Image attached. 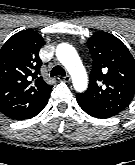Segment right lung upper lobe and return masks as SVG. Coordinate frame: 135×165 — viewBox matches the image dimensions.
Masks as SVG:
<instances>
[{"label": "right lung upper lobe", "mask_w": 135, "mask_h": 165, "mask_svg": "<svg viewBox=\"0 0 135 165\" xmlns=\"http://www.w3.org/2000/svg\"><path fill=\"white\" fill-rule=\"evenodd\" d=\"M43 37L32 29L10 37L0 49V111L31 110L48 101L52 86L40 76Z\"/></svg>", "instance_id": "right-lung-upper-lobe-1"}]
</instances>
